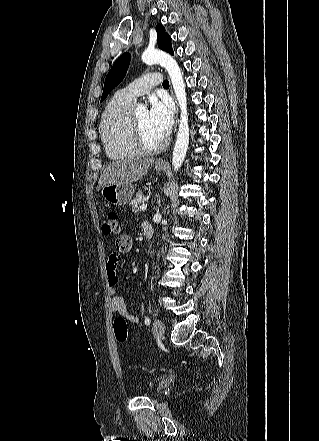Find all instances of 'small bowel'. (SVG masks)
<instances>
[{
    "label": "small bowel",
    "instance_id": "obj_1",
    "mask_svg": "<svg viewBox=\"0 0 319 441\" xmlns=\"http://www.w3.org/2000/svg\"><path fill=\"white\" fill-rule=\"evenodd\" d=\"M133 246V240L129 235H121L115 241L116 251L112 252L106 263V278L108 284V295L110 296V309L113 313L124 317L131 323L137 324L139 317L132 314L124 301V298L116 293V287L118 285L117 267L120 261V253H126L131 250Z\"/></svg>",
    "mask_w": 319,
    "mask_h": 441
}]
</instances>
